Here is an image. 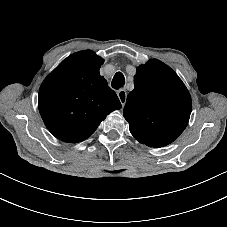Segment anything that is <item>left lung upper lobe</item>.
<instances>
[{"mask_svg":"<svg viewBox=\"0 0 227 227\" xmlns=\"http://www.w3.org/2000/svg\"><path fill=\"white\" fill-rule=\"evenodd\" d=\"M134 86L123 110L131 134L150 147L170 144L190 118L192 101L186 86L169 66L157 59L137 68Z\"/></svg>","mask_w":227,"mask_h":227,"instance_id":"1","label":"left lung upper lobe"}]
</instances>
